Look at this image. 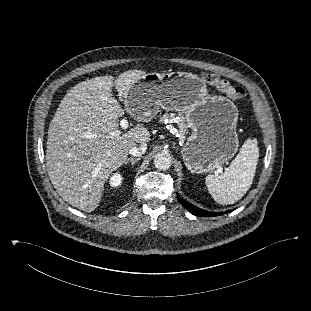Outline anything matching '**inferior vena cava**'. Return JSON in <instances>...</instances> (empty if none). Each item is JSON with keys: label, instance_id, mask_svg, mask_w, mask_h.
I'll return each mask as SVG.
<instances>
[{"label": "inferior vena cava", "instance_id": "inferior-vena-cava-1", "mask_svg": "<svg viewBox=\"0 0 311 311\" xmlns=\"http://www.w3.org/2000/svg\"><path fill=\"white\" fill-rule=\"evenodd\" d=\"M146 149H147V144L142 143L139 147H136V146L131 147L129 150V153L132 156H140L145 153Z\"/></svg>", "mask_w": 311, "mask_h": 311}]
</instances>
